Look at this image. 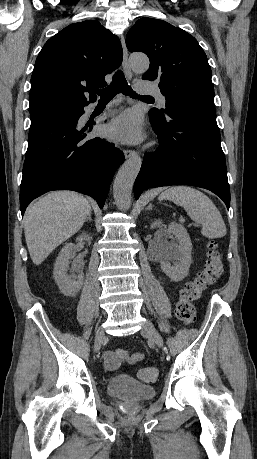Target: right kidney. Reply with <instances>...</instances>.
Listing matches in <instances>:
<instances>
[{
    "instance_id": "1",
    "label": "right kidney",
    "mask_w": 257,
    "mask_h": 459,
    "mask_svg": "<svg viewBox=\"0 0 257 459\" xmlns=\"http://www.w3.org/2000/svg\"><path fill=\"white\" fill-rule=\"evenodd\" d=\"M77 240L86 241L88 244L91 243V237L85 233L79 236ZM75 253V244H65L54 264L53 277L60 291L66 296L77 294L83 285L84 276L80 266H73L71 273L67 274L70 259L74 257Z\"/></svg>"
}]
</instances>
